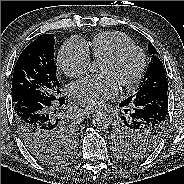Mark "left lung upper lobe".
<instances>
[{"label":"left lung upper lobe","instance_id":"1","mask_svg":"<svg viewBox=\"0 0 184 184\" xmlns=\"http://www.w3.org/2000/svg\"><path fill=\"white\" fill-rule=\"evenodd\" d=\"M148 50L152 55V58L148 65L145 78L139 85L137 92L133 96H130L126 100L122 101L120 106L123 103L133 105V101L150 92H168V82L166 79L163 64L157 57L158 53L151 42H149ZM125 113L127 114L126 110ZM145 129L146 130L136 127L133 123V118L131 115L126 117L123 116L121 119L117 120L110 131V136L119 156L125 160H139L146 157L153 151L157 145H155V147L150 152L145 151L142 153H137L135 151L136 146L139 143H149L154 140L150 133V131L153 130L152 127H145Z\"/></svg>","mask_w":184,"mask_h":184}]
</instances>
